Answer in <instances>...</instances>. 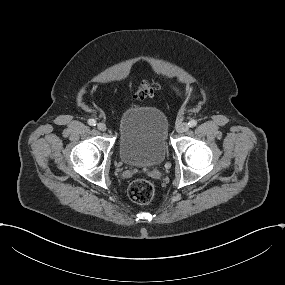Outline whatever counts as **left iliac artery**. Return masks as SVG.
Segmentation results:
<instances>
[{"mask_svg": "<svg viewBox=\"0 0 285 285\" xmlns=\"http://www.w3.org/2000/svg\"><path fill=\"white\" fill-rule=\"evenodd\" d=\"M188 125H189L190 127H195V126L197 125V121H196V120H190L189 123H188Z\"/></svg>", "mask_w": 285, "mask_h": 285, "instance_id": "obj_1", "label": "left iliac artery"}]
</instances>
